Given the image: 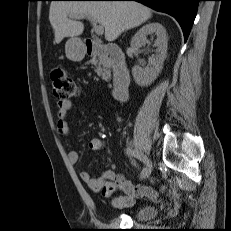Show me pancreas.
Wrapping results in <instances>:
<instances>
[{
  "label": "pancreas",
  "mask_w": 231,
  "mask_h": 231,
  "mask_svg": "<svg viewBox=\"0 0 231 231\" xmlns=\"http://www.w3.org/2000/svg\"><path fill=\"white\" fill-rule=\"evenodd\" d=\"M93 64L96 65V72L103 80H106L110 77V67L106 59L94 60Z\"/></svg>",
  "instance_id": "pancreas-1"
}]
</instances>
